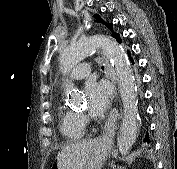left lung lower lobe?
<instances>
[{"label": "left lung lower lobe", "mask_w": 177, "mask_h": 169, "mask_svg": "<svg viewBox=\"0 0 177 169\" xmlns=\"http://www.w3.org/2000/svg\"><path fill=\"white\" fill-rule=\"evenodd\" d=\"M119 42V41H118ZM120 43V42H119ZM128 55H129V57H130V61L132 62V64H134V60H133V58L131 57V53L128 51ZM144 142H147V143H150V140H149V135H148V132H147V134H146V136H145V138H144V140H143Z\"/></svg>", "instance_id": "obj_1"}]
</instances>
